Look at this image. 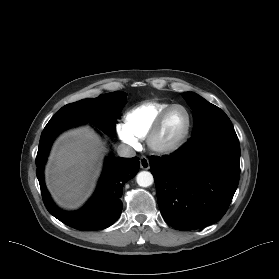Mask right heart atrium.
Listing matches in <instances>:
<instances>
[{"mask_svg": "<svg viewBox=\"0 0 279 279\" xmlns=\"http://www.w3.org/2000/svg\"><path fill=\"white\" fill-rule=\"evenodd\" d=\"M116 132L118 137L125 144L135 147L137 145V138H135L123 124L116 125Z\"/></svg>", "mask_w": 279, "mask_h": 279, "instance_id": "obj_1", "label": "right heart atrium"}]
</instances>
